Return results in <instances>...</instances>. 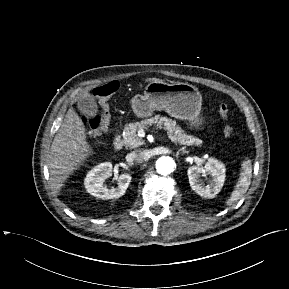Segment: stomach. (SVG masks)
Masks as SVG:
<instances>
[{
  "instance_id": "1",
  "label": "stomach",
  "mask_w": 289,
  "mask_h": 289,
  "mask_svg": "<svg viewBox=\"0 0 289 289\" xmlns=\"http://www.w3.org/2000/svg\"><path fill=\"white\" fill-rule=\"evenodd\" d=\"M202 96L188 83L150 82L143 94L132 99V109L139 118L149 117L154 111L165 110L170 116L187 120L191 127L203 124L200 117Z\"/></svg>"
}]
</instances>
